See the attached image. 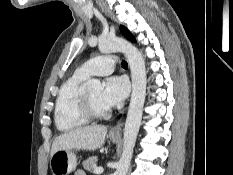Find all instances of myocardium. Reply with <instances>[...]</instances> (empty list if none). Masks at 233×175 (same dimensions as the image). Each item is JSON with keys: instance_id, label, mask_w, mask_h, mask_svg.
<instances>
[{"instance_id": "f54148a6", "label": "myocardium", "mask_w": 233, "mask_h": 175, "mask_svg": "<svg viewBox=\"0 0 233 175\" xmlns=\"http://www.w3.org/2000/svg\"><path fill=\"white\" fill-rule=\"evenodd\" d=\"M78 110L88 120L103 119L108 117L110 114L109 109H96L86 91H82L80 95L78 102Z\"/></svg>"}]
</instances>
